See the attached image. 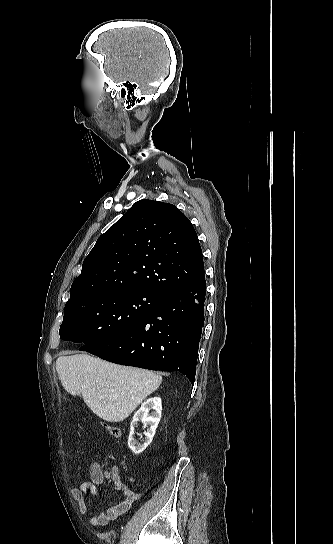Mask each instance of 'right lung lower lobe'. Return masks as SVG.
Returning <instances> with one entry per match:
<instances>
[{
	"label": "right lung lower lobe",
	"instance_id": "1",
	"mask_svg": "<svg viewBox=\"0 0 333 544\" xmlns=\"http://www.w3.org/2000/svg\"><path fill=\"white\" fill-rule=\"evenodd\" d=\"M205 295L204 276L189 287L162 296L130 329L84 351L121 365L179 371L193 384L204 326Z\"/></svg>",
	"mask_w": 333,
	"mask_h": 544
}]
</instances>
